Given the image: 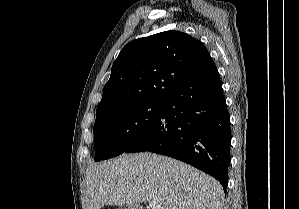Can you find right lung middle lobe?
Wrapping results in <instances>:
<instances>
[{
  "label": "right lung middle lobe",
  "mask_w": 299,
  "mask_h": 209,
  "mask_svg": "<svg viewBox=\"0 0 299 209\" xmlns=\"http://www.w3.org/2000/svg\"><path fill=\"white\" fill-rule=\"evenodd\" d=\"M164 103L138 102L121 105L96 115L95 161L124 153L160 116Z\"/></svg>",
  "instance_id": "right-lung-middle-lobe-1"
}]
</instances>
